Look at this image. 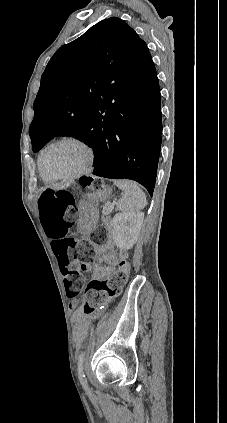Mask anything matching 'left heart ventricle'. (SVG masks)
I'll list each match as a JSON object with an SVG mask.
<instances>
[{"label":"left heart ventricle","instance_id":"left-heart-ventricle-1","mask_svg":"<svg viewBox=\"0 0 227 423\" xmlns=\"http://www.w3.org/2000/svg\"><path fill=\"white\" fill-rule=\"evenodd\" d=\"M87 154L81 146L66 142L50 149L44 157L46 170L55 175L72 174L81 169Z\"/></svg>","mask_w":227,"mask_h":423}]
</instances>
